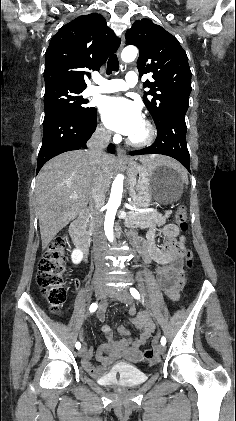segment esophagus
<instances>
[{
    "mask_svg": "<svg viewBox=\"0 0 236 421\" xmlns=\"http://www.w3.org/2000/svg\"><path fill=\"white\" fill-rule=\"evenodd\" d=\"M124 44H125V40H124V36H122L121 44H120V47H119V50H118V55H120V53H121V51L124 47ZM117 157H118L119 161H129V158L127 156L126 151L121 147L117 148Z\"/></svg>",
    "mask_w": 236,
    "mask_h": 421,
    "instance_id": "obj_1",
    "label": "esophagus"
}]
</instances>
